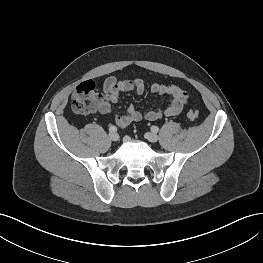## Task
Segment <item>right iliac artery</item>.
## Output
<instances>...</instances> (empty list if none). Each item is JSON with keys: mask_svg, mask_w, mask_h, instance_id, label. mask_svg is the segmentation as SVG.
Returning <instances> with one entry per match:
<instances>
[{"mask_svg": "<svg viewBox=\"0 0 263 263\" xmlns=\"http://www.w3.org/2000/svg\"><path fill=\"white\" fill-rule=\"evenodd\" d=\"M109 131L110 132H116L117 131V127L116 126H110L109 127Z\"/></svg>", "mask_w": 263, "mask_h": 263, "instance_id": "1", "label": "right iliac artery"}]
</instances>
